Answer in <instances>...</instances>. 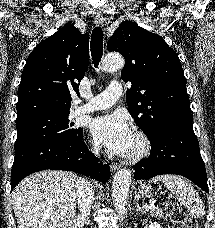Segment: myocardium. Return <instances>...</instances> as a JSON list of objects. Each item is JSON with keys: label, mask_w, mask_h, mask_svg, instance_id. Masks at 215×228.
Instances as JSON below:
<instances>
[{"label": "myocardium", "mask_w": 215, "mask_h": 228, "mask_svg": "<svg viewBox=\"0 0 215 228\" xmlns=\"http://www.w3.org/2000/svg\"><path fill=\"white\" fill-rule=\"evenodd\" d=\"M134 137L137 140V147L124 156V161L127 163H136L140 161L149 154L151 149L150 140L144 131L136 130Z\"/></svg>", "instance_id": "1"}]
</instances>
